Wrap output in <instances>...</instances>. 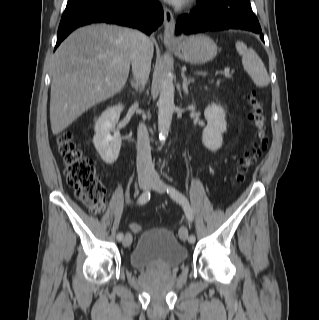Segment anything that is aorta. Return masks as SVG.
<instances>
[{
    "label": "aorta",
    "mask_w": 319,
    "mask_h": 320,
    "mask_svg": "<svg viewBox=\"0 0 319 320\" xmlns=\"http://www.w3.org/2000/svg\"><path fill=\"white\" fill-rule=\"evenodd\" d=\"M157 105L159 138L164 142L170 130L174 111V85L172 76L169 74H166L162 80Z\"/></svg>",
    "instance_id": "aorta-1"
}]
</instances>
